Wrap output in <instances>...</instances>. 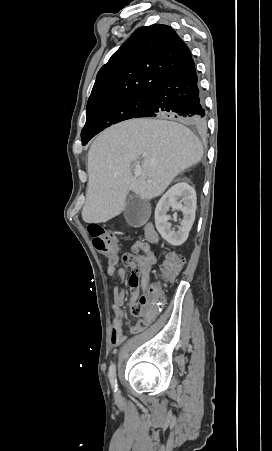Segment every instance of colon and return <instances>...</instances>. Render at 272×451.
I'll list each match as a JSON object with an SVG mask.
<instances>
[{"mask_svg":"<svg viewBox=\"0 0 272 451\" xmlns=\"http://www.w3.org/2000/svg\"><path fill=\"white\" fill-rule=\"evenodd\" d=\"M89 234L92 238L95 249L103 256H116L118 249V242L111 241L114 235H106L105 229L101 226H89ZM169 262L162 263L163 277L174 278L175 270L180 268L176 253L169 251L167 253ZM123 264L136 271H149L150 264L144 258L137 259L135 255L125 252L122 254ZM109 266L113 269L116 267L117 261L114 258L109 259ZM169 294H166L165 288H145L144 294H140L139 302L134 303L131 311L134 315H139L144 310H153L154 306L158 307L163 303H169ZM147 325L146 320L139 321L133 328L132 332H138ZM123 340L121 332L117 327L112 328L111 342L114 346H119Z\"/></svg>","mask_w":272,"mask_h":451,"instance_id":"colon-1","label":"colon"}]
</instances>
